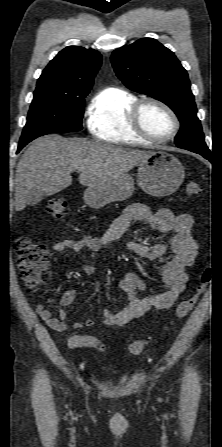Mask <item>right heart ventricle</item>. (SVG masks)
<instances>
[{
	"mask_svg": "<svg viewBox=\"0 0 222 447\" xmlns=\"http://www.w3.org/2000/svg\"><path fill=\"white\" fill-rule=\"evenodd\" d=\"M137 97L120 88H106L93 100L88 111L87 126L91 135L112 144L133 145L149 141L132 127L130 111Z\"/></svg>",
	"mask_w": 222,
	"mask_h": 447,
	"instance_id": "obj_1",
	"label": "right heart ventricle"
}]
</instances>
